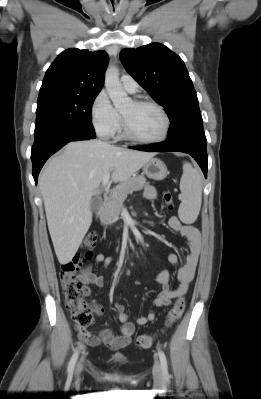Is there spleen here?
<instances>
[{
  "label": "spleen",
  "instance_id": "obj_1",
  "mask_svg": "<svg viewBox=\"0 0 261 399\" xmlns=\"http://www.w3.org/2000/svg\"><path fill=\"white\" fill-rule=\"evenodd\" d=\"M182 201L178 215L182 222L191 224L197 219L202 202V175L190 163L183 164V175L180 180Z\"/></svg>",
  "mask_w": 261,
  "mask_h": 399
}]
</instances>
